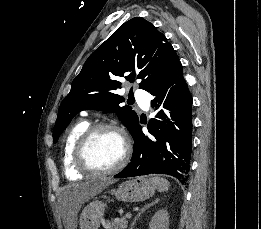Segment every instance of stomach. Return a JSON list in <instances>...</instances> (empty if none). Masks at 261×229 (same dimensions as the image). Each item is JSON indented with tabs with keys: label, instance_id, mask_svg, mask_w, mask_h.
Segmentation results:
<instances>
[{
	"label": "stomach",
	"instance_id": "obj_1",
	"mask_svg": "<svg viewBox=\"0 0 261 229\" xmlns=\"http://www.w3.org/2000/svg\"><path fill=\"white\" fill-rule=\"evenodd\" d=\"M157 187L152 179L137 177L131 181H125L118 189H113L111 195H115L119 201L125 203H140L153 197ZM105 205L101 201H93L83 209L80 217V229H99L103 219Z\"/></svg>",
	"mask_w": 261,
	"mask_h": 229
}]
</instances>
